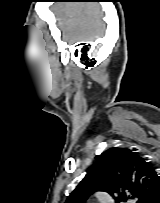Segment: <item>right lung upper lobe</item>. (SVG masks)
<instances>
[{
    "label": "right lung upper lobe",
    "mask_w": 160,
    "mask_h": 203,
    "mask_svg": "<svg viewBox=\"0 0 160 203\" xmlns=\"http://www.w3.org/2000/svg\"><path fill=\"white\" fill-rule=\"evenodd\" d=\"M95 191H105L116 201L149 203L160 194V176L136 152L110 148L92 166L65 203H85Z\"/></svg>",
    "instance_id": "right-lung-upper-lobe-1"
}]
</instances>
